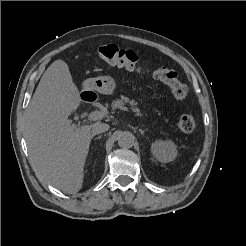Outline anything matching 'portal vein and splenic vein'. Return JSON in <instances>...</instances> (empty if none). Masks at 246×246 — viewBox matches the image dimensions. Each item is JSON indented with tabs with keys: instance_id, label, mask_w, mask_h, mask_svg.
<instances>
[{
	"instance_id": "1",
	"label": "portal vein and splenic vein",
	"mask_w": 246,
	"mask_h": 246,
	"mask_svg": "<svg viewBox=\"0 0 246 246\" xmlns=\"http://www.w3.org/2000/svg\"><path fill=\"white\" fill-rule=\"evenodd\" d=\"M119 109L120 110H123V111L129 112V109L127 107H125V106H121ZM105 115H106L105 112H102V111H94V112H92V113H90L88 115V118L87 119L89 121H96V120L102 119Z\"/></svg>"
}]
</instances>
